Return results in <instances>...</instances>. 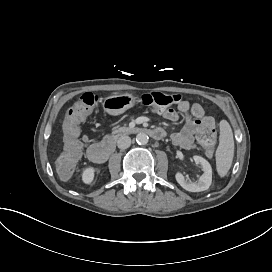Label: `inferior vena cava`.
<instances>
[{"label":"inferior vena cava","mask_w":272,"mask_h":272,"mask_svg":"<svg viewBox=\"0 0 272 272\" xmlns=\"http://www.w3.org/2000/svg\"><path fill=\"white\" fill-rule=\"evenodd\" d=\"M118 148L126 149L131 145V138L129 136H121L117 141Z\"/></svg>","instance_id":"602c4592"}]
</instances>
